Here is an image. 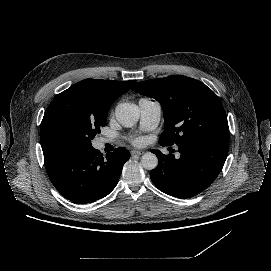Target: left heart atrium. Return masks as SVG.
Masks as SVG:
<instances>
[{"label": "left heart atrium", "instance_id": "left-heart-atrium-1", "mask_svg": "<svg viewBox=\"0 0 271 271\" xmlns=\"http://www.w3.org/2000/svg\"><path fill=\"white\" fill-rule=\"evenodd\" d=\"M142 142H143V139H142L141 137H134V138L132 139V143H133L134 145H140Z\"/></svg>", "mask_w": 271, "mask_h": 271}]
</instances>
